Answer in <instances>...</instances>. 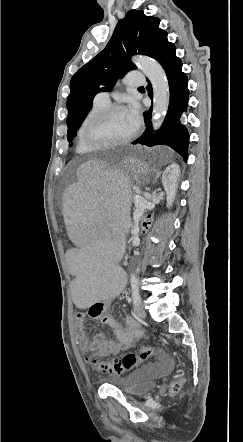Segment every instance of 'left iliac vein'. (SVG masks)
I'll return each mask as SVG.
<instances>
[{"label":"left iliac vein","instance_id":"1","mask_svg":"<svg viewBox=\"0 0 243 442\" xmlns=\"http://www.w3.org/2000/svg\"><path fill=\"white\" fill-rule=\"evenodd\" d=\"M134 311H135V314L139 318H145L146 312H145V309L143 308V306L141 305V303L138 305H135Z\"/></svg>","mask_w":243,"mask_h":442}]
</instances>
